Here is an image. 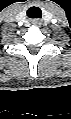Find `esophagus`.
<instances>
[{"mask_svg": "<svg viewBox=\"0 0 71 119\" xmlns=\"http://www.w3.org/2000/svg\"><path fill=\"white\" fill-rule=\"evenodd\" d=\"M33 23H34V24H38L39 21H38V20H34Z\"/></svg>", "mask_w": 71, "mask_h": 119, "instance_id": "34e87169", "label": "esophagus"}]
</instances>
